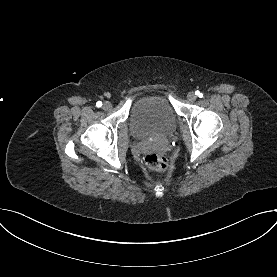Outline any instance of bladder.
I'll return each mask as SVG.
<instances>
[{"mask_svg": "<svg viewBox=\"0 0 277 277\" xmlns=\"http://www.w3.org/2000/svg\"><path fill=\"white\" fill-rule=\"evenodd\" d=\"M130 126L137 137H163L174 132L177 117L168 99L159 95L146 96L132 105Z\"/></svg>", "mask_w": 277, "mask_h": 277, "instance_id": "1", "label": "bladder"}]
</instances>
